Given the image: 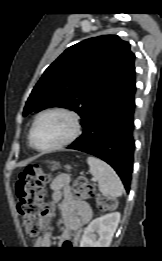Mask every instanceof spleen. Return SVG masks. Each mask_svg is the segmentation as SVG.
<instances>
[{
  "mask_svg": "<svg viewBox=\"0 0 162 261\" xmlns=\"http://www.w3.org/2000/svg\"><path fill=\"white\" fill-rule=\"evenodd\" d=\"M87 163L89 171L97 179L99 190L103 195L119 197L123 194V184L111 166L94 156H89Z\"/></svg>",
  "mask_w": 162,
  "mask_h": 261,
  "instance_id": "obj_1",
  "label": "spleen"
}]
</instances>
